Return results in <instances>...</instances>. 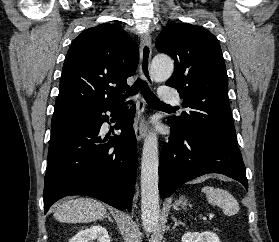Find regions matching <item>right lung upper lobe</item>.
<instances>
[{"instance_id":"obj_1","label":"right lung upper lobe","mask_w":279,"mask_h":242,"mask_svg":"<svg viewBox=\"0 0 279 242\" xmlns=\"http://www.w3.org/2000/svg\"><path fill=\"white\" fill-rule=\"evenodd\" d=\"M138 61V46L122 28L104 23L83 31L66 55L53 117L120 105Z\"/></svg>"}]
</instances>
